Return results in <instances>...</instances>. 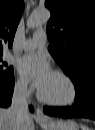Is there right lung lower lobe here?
<instances>
[{
	"mask_svg": "<svg viewBox=\"0 0 95 130\" xmlns=\"http://www.w3.org/2000/svg\"><path fill=\"white\" fill-rule=\"evenodd\" d=\"M14 89V78L8 82L0 84V106L8 107L11 104V98ZM33 111V108L30 107Z\"/></svg>",
	"mask_w": 95,
	"mask_h": 130,
	"instance_id": "1",
	"label": "right lung lower lobe"
}]
</instances>
